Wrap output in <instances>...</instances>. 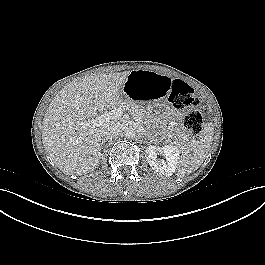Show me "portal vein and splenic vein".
<instances>
[{
	"label": "portal vein and splenic vein",
	"instance_id": "obj_1",
	"mask_svg": "<svg viewBox=\"0 0 265 265\" xmlns=\"http://www.w3.org/2000/svg\"><path fill=\"white\" fill-rule=\"evenodd\" d=\"M124 110L121 107L114 108L113 110L106 112L100 116L92 117L88 119V121L85 122H78V125H81L83 127H98L103 125L104 123H108L112 120H117L123 115ZM132 116H134V119H137L135 117L134 113H131Z\"/></svg>",
	"mask_w": 265,
	"mask_h": 265
}]
</instances>
